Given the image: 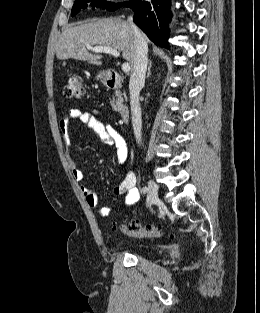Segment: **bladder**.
I'll return each mask as SVG.
<instances>
[{"label":"bladder","instance_id":"31cf9c89","mask_svg":"<svg viewBox=\"0 0 260 313\" xmlns=\"http://www.w3.org/2000/svg\"><path fill=\"white\" fill-rule=\"evenodd\" d=\"M150 255H154V252H149Z\"/></svg>","mask_w":260,"mask_h":313}]
</instances>
